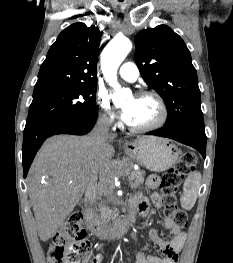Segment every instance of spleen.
<instances>
[{
    "mask_svg": "<svg viewBox=\"0 0 233 263\" xmlns=\"http://www.w3.org/2000/svg\"><path fill=\"white\" fill-rule=\"evenodd\" d=\"M201 184V174L194 172L189 174L183 185V194L180 198L182 208L191 210L196 203L198 189Z\"/></svg>",
    "mask_w": 233,
    "mask_h": 263,
    "instance_id": "3e777b00",
    "label": "spleen"
}]
</instances>
